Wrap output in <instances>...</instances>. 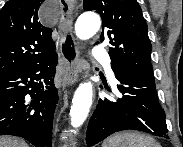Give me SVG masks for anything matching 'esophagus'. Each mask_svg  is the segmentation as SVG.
Returning <instances> with one entry per match:
<instances>
[{"mask_svg":"<svg viewBox=\"0 0 183 147\" xmlns=\"http://www.w3.org/2000/svg\"><path fill=\"white\" fill-rule=\"evenodd\" d=\"M60 4L62 7L59 24V34L61 35L60 51L66 69L64 89L66 85H72L77 81L83 62L80 59L73 35L71 3L69 0H63L60 1Z\"/></svg>","mask_w":183,"mask_h":147,"instance_id":"34e87169","label":"esophagus"}]
</instances>
